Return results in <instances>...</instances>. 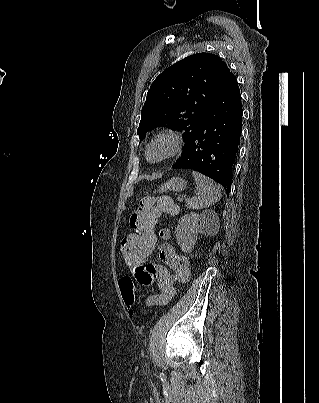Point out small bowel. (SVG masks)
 <instances>
[{"label":"small bowel","mask_w":319,"mask_h":403,"mask_svg":"<svg viewBox=\"0 0 319 403\" xmlns=\"http://www.w3.org/2000/svg\"><path fill=\"white\" fill-rule=\"evenodd\" d=\"M132 238V236L130 237ZM159 238L163 241L158 250V261L151 262L149 266H144L141 263L136 265V268H131V274H139L135 277L140 286H150L156 281L160 291L147 297V306H162L169 303L175 295V284L177 282H185L190 274L188 258L178 252L168 240L171 238V232L168 229H162L159 232ZM155 247H153L154 251ZM173 273H170L169 269Z\"/></svg>","instance_id":"1"}]
</instances>
